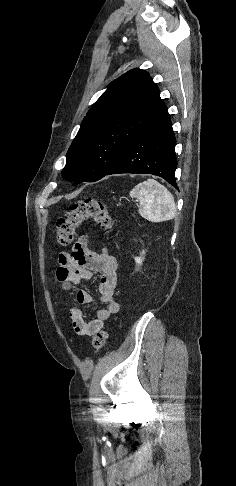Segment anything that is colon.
<instances>
[{"instance_id":"colon-1","label":"colon","mask_w":236,"mask_h":486,"mask_svg":"<svg viewBox=\"0 0 236 486\" xmlns=\"http://www.w3.org/2000/svg\"><path fill=\"white\" fill-rule=\"evenodd\" d=\"M87 221L99 225L106 235H110L112 217L107 206L95 198H88L73 203L65 216L57 221L56 239L59 245L72 243L76 230ZM107 339V333L100 330L93 335L92 347L95 352L101 350Z\"/></svg>"}]
</instances>
